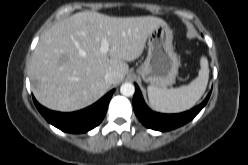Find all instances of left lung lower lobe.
<instances>
[{
  "mask_svg": "<svg viewBox=\"0 0 248 165\" xmlns=\"http://www.w3.org/2000/svg\"><path fill=\"white\" fill-rule=\"evenodd\" d=\"M135 86L136 91L133 97V108L135 114L144 126L162 132L175 129L191 121L206 105L211 94L210 92L200 105L190 111L180 114H160L153 112L147 107L139 87L137 85Z\"/></svg>",
  "mask_w": 248,
  "mask_h": 165,
  "instance_id": "obj_1",
  "label": "left lung lower lobe"
}]
</instances>
